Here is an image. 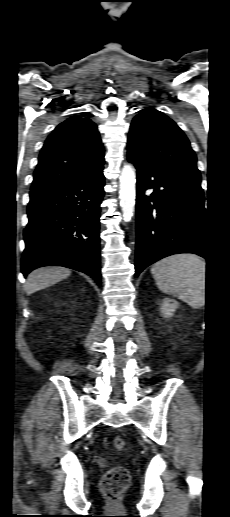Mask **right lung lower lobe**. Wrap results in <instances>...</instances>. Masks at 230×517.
I'll use <instances>...</instances> for the list:
<instances>
[{
	"mask_svg": "<svg viewBox=\"0 0 230 517\" xmlns=\"http://www.w3.org/2000/svg\"><path fill=\"white\" fill-rule=\"evenodd\" d=\"M103 167L90 175L30 191L22 273L58 265L90 275L100 285V204Z\"/></svg>",
	"mask_w": 230,
	"mask_h": 517,
	"instance_id": "1",
	"label": "right lung lower lobe"
}]
</instances>
